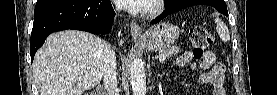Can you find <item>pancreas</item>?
I'll use <instances>...</instances> for the list:
<instances>
[{"label":"pancreas","instance_id":"obj_1","mask_svg":"<svg viewBox=\"0 0 277 95\" xmlns=\"http://www.w3.org/2000/svg\"><path fill=\"white\" fill-rule=\"evenodd\" d=\"M179 51V48L177 46H169L163 50L160 51V55H164L167 58H170L171 56L177 54Z\"/></svg>","mask_w":277,"mask_h":95}]
</instances>
